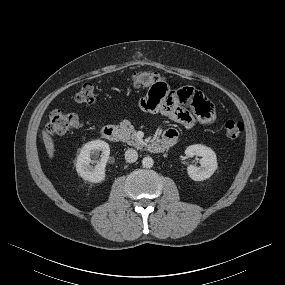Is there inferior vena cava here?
Here are the masks:
<instances>
[{"instance_id": "obj_1", "label": "inferior vena cava", "mask_w": 285, "mask_h": 285, "mask_svg": "<svg viewBox=\"0 0 285 285\" xmlns=\"http://www.w3.org/2000/svg\"><path fill=\"white\" fill-rule=\"evenodd\" d=\"M138 158V153L136 150L134 149H128L126 152H125V160L128 162V163H133L137 160Z\"/></svg>"}]
</instances>
